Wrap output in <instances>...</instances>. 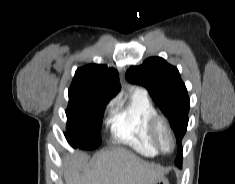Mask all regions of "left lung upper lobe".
<instances>
[{
  "instance_id": "5c2ea615",
  "label": "left lung upper lobe",
  "mask_w": 235,
  "mask_h": 184,
  "mask_svg": "<svg viewBox=\"0 0 235 184\" xmlns=\"http://www.w3.org/2000/svg\"><path fill=\"white\" fill-rule=\"evenodd\" d=\"M126 79L144 86L162 112L168 117L177 138L178 153L175 164L182 165L181 141L188 125L190 100L178 69L160 57H150L140 66H131Z\"/></svg>"
}]
</instances>
